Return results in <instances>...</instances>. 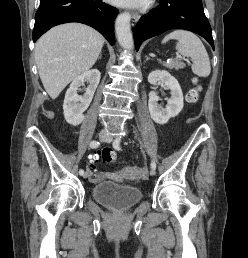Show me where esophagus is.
Segmentation results:
<instances>
[{
	"label": "esophagus",
	"instance_id": "34e87169",
	"mask_svg": "<svg viewBox=\"0 0 248 258\" xmlns=\"http://www.w3.org/2000/svg\"><path fill=\"white\" fill-rule=\"evenodd\" d=\"M140 18V15L137 12L132 13V25H135Z\"/></svg>",
	"mask_w": 248,
	"mask_h": 258
}]
</instances>
